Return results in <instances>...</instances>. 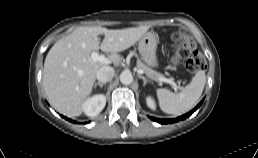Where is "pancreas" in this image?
<instances>
[{
  "instance_id": "obj_1",
  "label": "pancreas",
  "mask_w": 258,
  "mask_h": 158,
  "mask_svg": "<svg viewBox=\"0 0 258 158\" xmlns=\"http://www.w3.org/2000/svg\"><path fill=\"white\" fill-rule=\"evenodd\" d=\"M137 69L142 70L147 77H149L152 80L159 81L160 77H163L162 74L158 73L157 71L152 70L148 66H146L144 63L141 62V60H137Z\"/></svg>"
}]
</instances>
